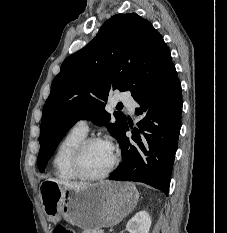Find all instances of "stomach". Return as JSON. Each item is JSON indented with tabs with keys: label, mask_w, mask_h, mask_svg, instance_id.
<instances>
[{
	"label": "stomach",
	"mask_w": 227,
	"mask_h": 233,
	"mask_svg": "<svg viewBox=\"0 0 227 233\" xmlns=\"http://www.w3.org/2000/svg\"><path fill=\"white\" fill-rule=\"evenodd\" d=\"M40 197L47 219H65L83 229L99 230L118 224L137 205L139 193L129 182L103 181L70 189L46 180Z\"/></svg>",
	"instance_id": "0dacf381"
}]
</instances>
